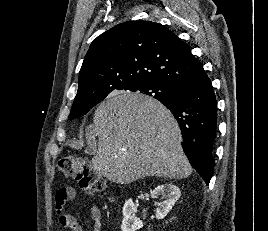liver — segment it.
<instances>
[{
	"instance_id": "1",
	"label": "liver",
	"mask_w": 268,
	"mask_h": 231,
	"mask_svg": "<svg viewBox=\"0 0 268 231\" xmlns=\"http://www.w3.org/2000/svg\"><path fill=\"white\" fill-rule=\"evenodd\" d=\"M90 139L98 137L95 170L109 181L129 184L156 176L182 179L192 173L172 113L140 93L116 92L95 111Z\"/></svg>"
}]
</instances>
